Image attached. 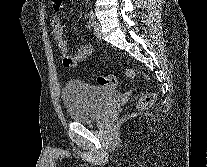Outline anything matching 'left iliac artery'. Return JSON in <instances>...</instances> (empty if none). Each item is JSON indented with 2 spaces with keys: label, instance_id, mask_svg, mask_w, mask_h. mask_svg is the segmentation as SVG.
<instances>
[{
  "label": "left iliac artery",
  "instance_id": "left-iliac-artery-1",
  "mask_svg": "<svg viewBox=\"0 0 207 167\" xmlns=\"http://www.w3.org/2000/svg\"><path fill=\"white\" fill-rule=\"evenodd\" d=\"M95 16H94V13H93V11L91 10L90 12H89V24L91 25V26H94V24H95Z\"/></svg>",
  "mask_w": 207,
  "mask_h": 167
}]
</instances>
